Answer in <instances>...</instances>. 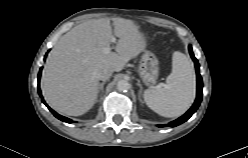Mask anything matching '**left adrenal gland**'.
Wrapping results in <instances>:
<instances>
[{"label":"left adrenal gland","mask_w":248,"mask_h":158,"mask_svg":"<svg viewBox=\"0 0 248 158\" xmlns=\"http://www.w3.org/2000/svg\"><path fill=\"white\" fill-rule=\"evenodd\" d=\"M137 85L140 87V91H139V100H140L141 103H143V101H142V99H141L142 85H141V83H140L139 80H138V82H137Z\"/></svg>","instance_id":"left-adrenal-gland-1"}]
</instances>
